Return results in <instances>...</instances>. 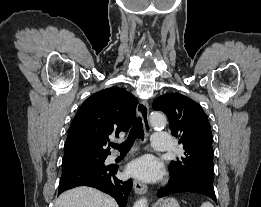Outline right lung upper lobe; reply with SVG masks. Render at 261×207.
Masks as SVG:
<instances>
[{
	"instance_id": "obj_1",
	"label": "right lung upper lobe",
	"mask_w": 261,
	"mask_h": 207,
	"mask_svg": "<svg viewBox=\"0 0 261 207\" xmlns=\"http://www.w3.org/2000/svg\"><path fill=\"white\" fill-rule=\"evenodd\" d=\"M137 99L118 87L101 90L79 108L69 128L62 161L84 157H107L104 148L110 135L127 131L136 114Z\"/></svg>"
}]
</instances>
